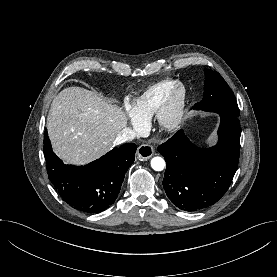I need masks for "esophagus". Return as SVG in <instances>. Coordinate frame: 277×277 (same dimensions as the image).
I'll return each mask as SVG.
<instances>
[{
    "label": "esophagus",
    "instance_id": "obj_1",
    "mask_svg": "<svg viewBox=\"0 0 277 277\" xmlns=\"http://www.w3.org/2000/svg\"><path fill=\"white\" fill-rule=\"evenodd\" d=\"M154 154V148L150 144H142L138 147L136 156L139 160L145 161L152 157Z\"/></svg>",
    "mask_w": 277,
    "mask_h": 277
}]
</instances>
